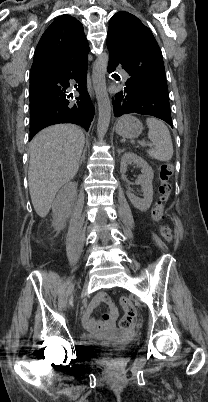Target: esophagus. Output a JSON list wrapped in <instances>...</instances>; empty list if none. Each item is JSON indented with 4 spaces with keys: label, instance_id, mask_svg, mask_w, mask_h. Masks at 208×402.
<instances>
[{
    "label": "esophagus",
    "instance_id": "esophagus-1",
    "mask_svg": "<svg viewBox=\"0 0 208 402\" xmlns=\"http://www.w3.org/2000/svg\"><path fill=\"white\" fill-rule=\"evenodd\" d=\"M88 91H89L91 96H94V91H93V87H92L90 79L88 81Z\"/></svg>",
    "mask_w": 208,
    "mask_h": 402
}]
</instances>
